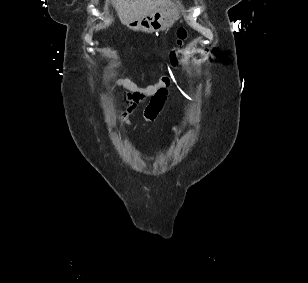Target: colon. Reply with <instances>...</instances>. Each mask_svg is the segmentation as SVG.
I'll list each match as a JSON object with an SVG mask.
<instances>
[{"instance_id": "1", "label": "colon", "mask_w": 308, "mask_h": 283, "mask_svg": "<svg viewBox=\"0 0 308 283\" xmlns=\"http://www.w3.org/2000/svg\"><path fill=\"white\" fill-rule=\"evenodd\" d=\"M187 38H188L187 30L185 28H179L177 31L176 46L173 48V50L170 53V59L172 63L174 64L177 63L180 51L183 48ZM161 81L169 84V78L167 77L162 78Z\"/></svg>"}]
</instances>
